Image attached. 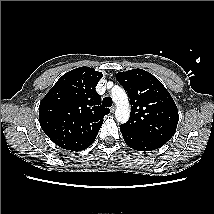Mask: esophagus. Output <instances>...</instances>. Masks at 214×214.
I'll return each mask as SVG.
<instances>
[{
    "instance_id": "esophagus-1",
    "label": "esophagus",
    "mask_w": 214,
    "mask_h": 214,
    "mask_svg": "<svg viewBox=\"0 0 214 214\" xmlns=\"http://www.w3.org/2000/svg\"><path fill=\"white\" fill-rule=\"evenodd\" d=\"M115 106H112L111 108H110V111L113 113L114 111H115Z\"/></svg>"
}]
</instances>
